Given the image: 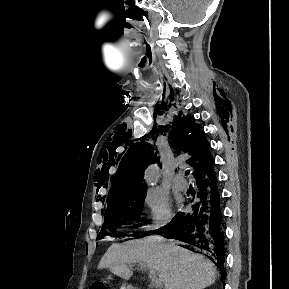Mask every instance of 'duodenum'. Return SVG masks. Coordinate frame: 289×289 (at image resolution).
<instances>
[{"label": "duodenum", "mask_w": 289, "mask_h": 289, "mask_svg": "<svg viewBox=\"0 0 289 289\" xmlns=\"http://www.w3.org/2000/svg\"><path fill=\"white\" fill-rule=\"evenodd\" d=\"M129 289H137V288H135V287H131V288H129Z\"/></svg>", "instance_id": "duodenum-1"}]
</instances>
